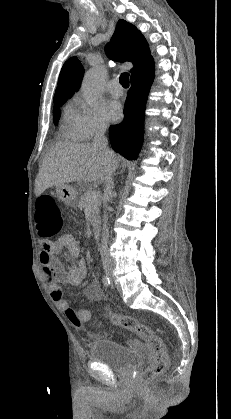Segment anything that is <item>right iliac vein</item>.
Returning a JSON list of instances; mask_svg holds the SVG:
<instances>
[{
    "instance_id": "63e3f726",
    "label": "right iliac vein",
    "mask_w": 231,
    "mask_h": 419,
    "mask_svg": "<svg viewBox=\"0 0 231 419\" xmlns=\"http://www.w3.org/2000/svg\"><path fill=\"white\" fill-rule=\"evenodd\" d=\"M106 274H107L108 276H110V275H111V270H110V269H107V270H106Z\"/></svg>"
}]
</instances>
